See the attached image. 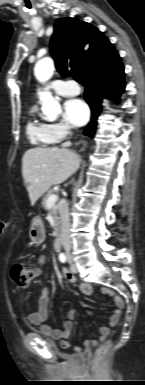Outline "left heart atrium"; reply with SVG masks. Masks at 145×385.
Wrapping results in <instances>:
<instances>
[{
	"mask_svg": "<svg viewBox=\"0 0 145 385\" xmlns=\"http://www.w3.org/2000/svg\"><path fill=\"white\" fill-rule=\"evenodd\" d=\"M64 114L69 123L74 126H82L87 122L90 111L82 99L72 98L65 102Z\"/></svg>",
	"mask_w": 145,
	"mask_h": 385,
	"instance_id": "obj_1",
	"label": "left heart atrium"
}]
</instances>
